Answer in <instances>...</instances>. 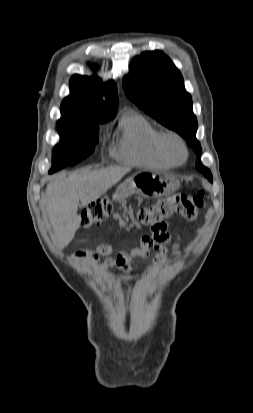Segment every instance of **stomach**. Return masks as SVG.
<instances>
[{"mask_svg": "<svg viewBox=\"0 0 253 413\" xmlns=\"http://www.w3.org/2000/svg\"><path fill=\"white\" fill-rule=\"evenodd\" d=\"M180 186L173 176H160L155 173L138 172L121 184L113 199L124 201L133 194L144 198H157L173 194Z\"/></svg>", "mask_w": 253, "mask_h": 413, "instance_id": "1", "label": "stomach"}]
</instances>
